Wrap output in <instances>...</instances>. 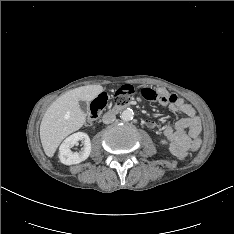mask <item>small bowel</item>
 <instances>
[{
  "mask_svg": "<svg viewBox=\"0 0 234 234\" xmlns=\"http://www.w3.org/2000/svg\"><path fill=\"white\" fill-rule=\"evenodd\" d=\"M157 93L156 101L160 105L168 106L172 112L181 116L175 124L164 126L163 133L168 141L171 153L177 157H184L200 134V119L197 117L193 106L186 103L176 93L163 89L158 90ZM147 125L152 129L161 127L160 122L154 120H148Z\"/></svg>",
  "mask_w": 234,
  "mask_h": 234,
  "instance_id": "c3829d8e",
  "label": "small bowel"
}]
</instances>
